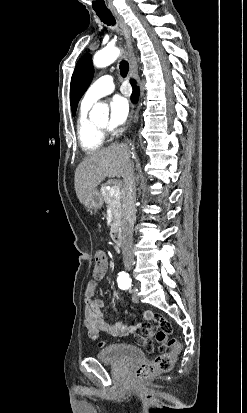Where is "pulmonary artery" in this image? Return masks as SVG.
Returning a JSON list of instances; mask_svg holds the SVG:
<instances>
[{
    "label": "pulmonary artery",
    "mask_w": 247,
    "mask_h": 413,
    "mask_svg": "<svg viewBox=\"0 0 247 413\" xmlns=\"http://www.w3.org/2000/svg\"><path fill=\"white\" fill-rule=\"evenodd\" d=\"M114 89V81L111 75H102L98 77L86 90L83 103L90 105L101 97L109 94Z\"/></svg>",
    "instance_id": "1"
}]
</instances>
